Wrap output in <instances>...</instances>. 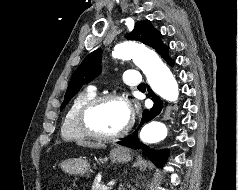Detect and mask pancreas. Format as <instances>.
Listing matches in <instances>:
<instances>
[{"instance_id":"pancreas-1","label":"pancreas","mask_w":238,"mask_h":190,"mask_svg":"<svg viewBox=\"0 0 238 190\" xmlns=\"http://www.w3.org/2000/svg\"><path fill=\"white\" fill-rule=\"evenodd\" d=\"M91 190H111V187L102 185L99 180L95 178Z\"/></svg>"}]
</instances>
